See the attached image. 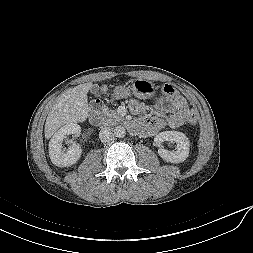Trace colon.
I'll use <instances>...</instances> for the list:
<instances>
[{
	"label": "colon",
	"instance_id": "obj_1",
	"mask_svg": "<svg viewBox=\"0 0 253 253\" xmlns=\"http://www.w3.org/2000/svg\"><path fill=\"white\" fill-rule=\"evenodd\" d=\"M162 92L170 97H173L177 94L176 89L169 84H166L162 87ZM188 121L190 124L195 125L198 121V115L196 112H191L189 117H188Z\"/></svg>",
	"mask_w": 253,
	"mask_h": 253
}]
</instances>
